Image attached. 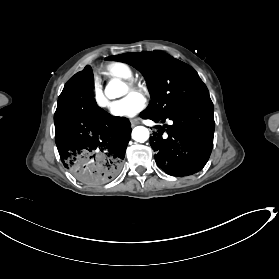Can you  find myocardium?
I'll return each instance as SVG.
<instances>
[{
  "label": "myocardium",
  "instance_id": "f54148a6",
  "mask_svg": "<svg viewBox=\"0 0 279 279\" xmlns=\"http://www.w3.org/2000/svg\"><path fill=\"white\" fill-rule=\"evenodd\" d=\"M124 85L129 89L131 93L135 94H145L147 91V88L145 84L137 81L134 78H130L124 81Z\"/></svg>",
  "mask_w": 279,
  "mask_h": 279
}]
</instances>
